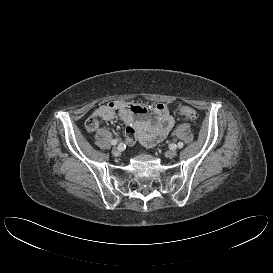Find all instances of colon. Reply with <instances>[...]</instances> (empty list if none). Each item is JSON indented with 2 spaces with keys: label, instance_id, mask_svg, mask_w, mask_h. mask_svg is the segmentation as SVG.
Here are the masks:
<instances>
[{
  "label": "colon",
  "instance_id": "colon-1",
  "mask_svg": "<svg viewBox=\"0 0 273 273\" xmlns=\"http://www.w3.org/2000/svg\"><path fill=\"white\" fill-rule=\"evenodd\" d=\"M178 111L187 120L194 121L198 118L197 111L190 106H180Z\"/></svg>",
  "mask_w": 273,
  "mask_h": 273
}]
</instances>
